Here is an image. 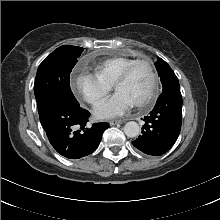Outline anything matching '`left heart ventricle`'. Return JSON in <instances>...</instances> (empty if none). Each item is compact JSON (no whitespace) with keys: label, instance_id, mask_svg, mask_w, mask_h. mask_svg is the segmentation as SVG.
<instances>
[{"label":"left heart ventricle","instance_id":"b2bd125f","mask_svg":"<svg viewBox=\"0 0 220 220\" xmlns=\"http://www.w3.org/2000/svg\"><path fill=\"white\" fill-rule=\"evenodd\" d=\"M151 78L145 65L137 66L124 83L119 84L115 90L125 93L133 103L142 101L149 93Z\"/></svg>","mask_w":220,"mask_h":220}]
</instances>
